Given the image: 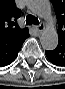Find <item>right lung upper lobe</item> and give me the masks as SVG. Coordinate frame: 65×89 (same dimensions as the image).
<instances>
[{"label": "right lung upper lobe", "mask_w": 65, "mask_h": 89, "mask_svg": "<svg viewBox=\"0 0 65 89\" xmlns=\"http://www.w3.org/2000/svg\"><path fill=\"white\" fill-rule=\"evenodd\" d=\"M21 11L14 0H0V46L11 45L29 36L27 28L21 29L17 19Z\"/></svg>", "instance_id": "right-lung-upper-lobe-1"}]
</instances>
